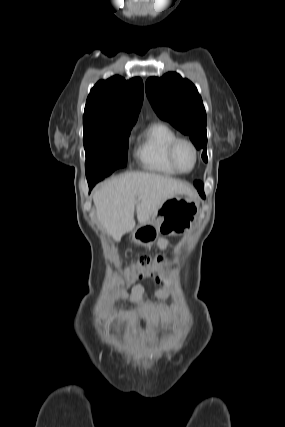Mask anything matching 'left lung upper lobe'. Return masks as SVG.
Wrapping results in <instances>:
<instances>
[{
  "mask_svg": "<svg viewBox=\"0 0 285 427\" xmlns=\"http://www.w3.org/2000/svg\"><path fill=\"white\" fill-rule=\"evenodd\" d=\"M145 88L158 116L189 135L197 149L204 148L202 158L207 162L206 112L197 88L173 72L148 78Z\"/></svg>",
  "mask_w": 285,
  "mask_h": 427,
  "instance_id": "5c2ea615",
  "label": "left lung upper lobe"
}]
</instances>
